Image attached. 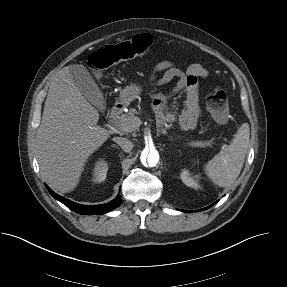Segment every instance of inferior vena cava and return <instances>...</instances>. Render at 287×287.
Here are the masks:
<instances>
[{"mask_svg":"<svg viewBox=\"0 0 287 287\" xmlns=\"http://www.w3.org/2000/svg\"><path fill=\"white\" fill-rule=\"evenodd\" d=\"M113 141L116 142L125 152H130L133 148V143L122 137H114Z\"/></svg>","mask_w":287,"mask_h":287,"instance_id":"1","label":"inferior vena cava"}]
</instances>
